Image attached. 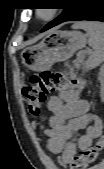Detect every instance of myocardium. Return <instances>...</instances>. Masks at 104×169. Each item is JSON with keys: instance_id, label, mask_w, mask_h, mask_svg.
Returning <instances> with one entry per match:
<instances>
[{"instance_id": "1", "label": "myocardium", "mask_w": 104, "mask_h": 169, "mask_svg": "<svg viewBox=\"0 0 104 169\" xmlns=\"http://www.w3.org/2000/svg\"><path fill=\"white\" fill-rule=\"evenodd\" d=\"M36 16L43 19V20H51L55 17L54 10H36Z\"/></svg>"}]
</instances>
